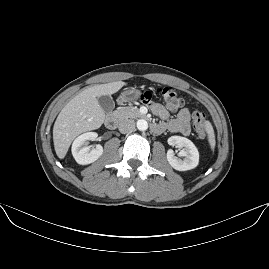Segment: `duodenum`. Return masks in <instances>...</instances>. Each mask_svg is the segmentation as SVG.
I'll return each instance as SVG.
<instances>
[{"label":"duodenum","instance_id":"obj_1","mask_svg":"<svg viewBox=\"0 0 269 269\" xmlns=\"http://www.w3.org/2000/svg\"><path fill=\"white\" fill-rule=\"evenodd\" d=\"M117 125V118L114 115H108L105 119V126L112 130ZM151 129L154 132H159L161 130V127L158 124H152Z\"/></svg>","mask_w":269,"mask_h":269}]
</instances>
